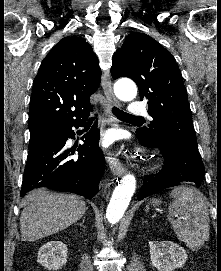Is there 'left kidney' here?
I'll return each mask as SVG.
<instances>
[{
    "label": "left kidney",
    "instance_id": "obj_1",
    "mask_svg": "<svg viewBox=\"0 0 221 271\" xmlns=\"http://www.w3.org/2000/svg\"><path fill=\"white\" fill-rule=\"evenodd\" d=\"M151 263L158 271H173L187 261L184 247L173 241H149Z\"/></svg>",
    "mask_w": 221,
    "mask_h": 271
}]
</instances>
